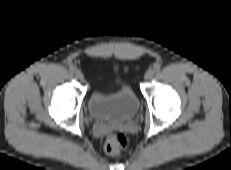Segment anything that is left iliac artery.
<instances>
[{
  "label": "left iliac artery",
  "mask_w": 231,
  "mask_h": 170,
  "mask_svg": "<svg viewBox=\"0 0 231 170\" xmlns=\"http://www.w3.org/2000/svg\"><path fill=\"white\" fill-rule=\"evenodd\" d=\"M154 69H155L156 72L160 71V65H159V64H156V65L154 66Z\"/></svg>",
  "instance_id": "obj_1"
}]
</instances>
